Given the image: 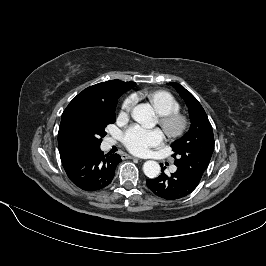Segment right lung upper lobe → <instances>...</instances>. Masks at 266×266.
Instances as JSON below:
<instances>
[{
  "label": "right lung upper lobe",
  "mask_w": 266,
  "mask_h": 266,
  "mask_svg": "<svg viewBox=\"0 0 266 266\" xmlns=\"http://www.w3.org/2000/svg\"><path fill=\"white\" fill-rule=\"evenodd\" d=\"M135 86L134 82H123L111 80L95 84L79 93L67 106L62 114V119L58 132V146L60 156L76 150L70 143L64 128V121L68 111L78 103L111 105L114 100L124 92Z\"/></svg>",
  "instance_id": "1"
}]
</instances>
